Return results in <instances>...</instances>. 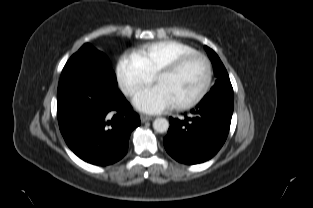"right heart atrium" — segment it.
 Returning a JSON list of instances; mask_svg holds the SVG:
<instances>
[{
	"label": "right heart atrium",
	"instance_id": "d8ad5b80",
	"mask_svg": "<svg viewBox=\"0 0 313 208\" xmlns=\"http://www.w3.org/2000/svg\"><path fill=\"white\" fill-rule=\"evenodd\" d=\"M117 82L126 95L150 84L154 75L143 65L135 54L123 55L116 66Z\"/></svg>",
	"mask_w": 313,
	"mask_h": 208
}]
</instances>
